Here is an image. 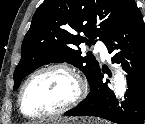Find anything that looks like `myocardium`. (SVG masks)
<instances>
[{
	"instance_id": "myocardium-1",
	"label": "myocardium",
	"mask_w": 145,
	"mask_h": 124,
	"mask_svg": "<svg viewBox=\"0 0 145 124\" xmlns=\"http://www.w3.org/2000/svg\"><path fill=\"white\" fill-rule=\"evenodd\" d=\"M51 70H59V71L66 72L75 80V82L77 84V92H76L75 96L69 102H67L65 105L61 106L60 108H58L56 110H52V111L45 112V113H38V114L26 113L23 108V96H24L26 88L38 75H40L44 72H47V71H51ZM86 92H87L86 84L83 81V79L81 78V76L76 72L75 69H73L72 67H70L66 64H62V63L49 64V65L43 66V67L35 70L25 80V82L21 86V89L18 94V105H19V109H20L22 115L25 116L26 118L43 119V118H48V117H54V116L64 114L67 111L74 108L76 105H78L86 96Z\"/></svg>"
}]
</instances>
